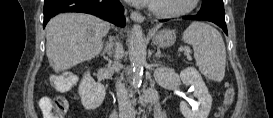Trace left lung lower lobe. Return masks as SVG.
Segmentation results:
<instances>
[{
	"instance_id": "0a47b994",
	"label": "left lung lower lobe",
	"mask_w": 273,
	"mask_h": 118,
	"mask_svg": "<svg viewBox=\"0 0 273 118\" xmlns=\"http://www.w3.org/2000/svg\"><path fill=\"white\" fill-rule=\"evenodd\" d=\"M184 18L185 19H193V20H205V21L213 22V23L217 24L220 28H222L226 34H228L225 19H221V18L211 16V15L200 14V13H198L197 15H193V16H184ZM167 20L168 19L160 20V22H165Z\"/></svg>"
}]
</instances>
